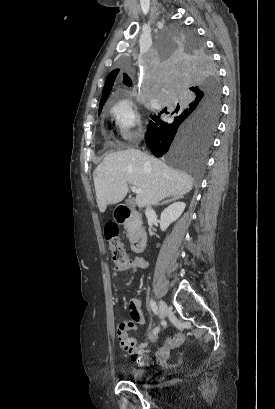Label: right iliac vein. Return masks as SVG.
I'll list each match as a JSON object with an SVG mask.
<instances>
[{"label": "right iliac vein", "mask_w": 275, "mask_h": 409, "mask_svg": "<svg viewBox=\"0 0 275 409\" xmlns=\"http://www.w3.org/2000/svg\"><path fill=\"white\" fill-rule=\"evenodd\" d=\"M167 312H168L167 304L164 301L161 300L160 303H159V317H160L161 320L164 319Z\"/></svg>", "instance_id": "1"}]
</instances>
